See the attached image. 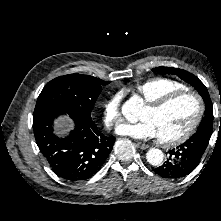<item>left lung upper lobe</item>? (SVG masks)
Returning <instances> with one entry per match:
<instances>
[{"instance_id": "obj_1", "label": "left lung upper lobe", "mask_w": 221, "mask_h": 221, "mask_svg": "<svg viewBox=\"0 0 221 221\" xmlns=\"http://www.w3.org/2000/svg\"><path fill=\"white\" fill-rule=\"evenodd\" d=\"M154 72L166 73V74H176L181 79L191 84L202 96L206 103L205 117L203 118L201 124L199 125L197 132L200 134H212L213 126V106L207 88L205 85L193 74L188 71L171 68V67H157L152 69Z\"/></svg>"}]
</instances>
